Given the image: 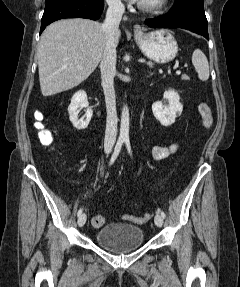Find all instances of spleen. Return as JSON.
Segmentation results:
<instances>
[{
	"label": "spleen",
	"instance_id": "3e777b00",
	"mask_svg": "<svg viewBox=\"0 0 240 287\" xmlns=\"http://www.w3.org/2000/svg\"><path fill=\"white\" fill-rule=\"evenodd\" d=\"M192 63L198 73V77L202 81L209 78V64L207 57L200 49H195L192 55Z\"/></svg>",
	"mask_w": 240,
	"mask_h": 287
}]
</instances>
